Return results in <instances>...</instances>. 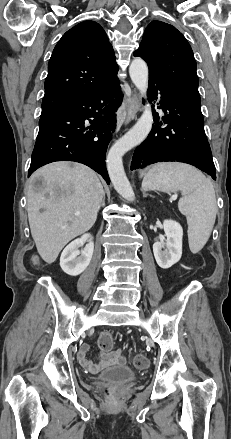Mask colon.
Instances as JSON below:
<instances>
[{
    "instance_id": "obj_1",
    "label": "colon",
    "mask_w": 231,
    "mask_h": 439,
    "mask_svg": "<svg viewBox=\"0 0 231 439\" xmlns=\"http://www.w3.org/2000/svg\"><path fill=\"white\" fill-rule=\"evenodd\" d=\"M98 343L102 350H110L113 346V337L109 332H103L99 337ZM148 364V358L143 353H137L133 357V366L137 370H144L145 368H147ZM104 393L107 396H111L114 393V389L107 386L104 388Z\"/></svg>"
}]
</instances>
